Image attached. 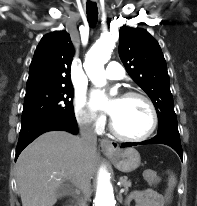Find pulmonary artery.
I'll return each instance as SVG.
<instances>
[{"instance_id": "obj_1", "label": "pulmonary artery", "mask_w": 197, "mask_h": 206, "mask_svg": "<svg viewBox=\"0 0 197 206\" xmlns=\"http://www.w3.org/2000/svg\"><path fill=\"white\" fill-rule=\"evenodd\" d=\"M124 76L123 66L118 62H109L105 71V77L110 80H118Z\"/></svg>"}]
</instances>
